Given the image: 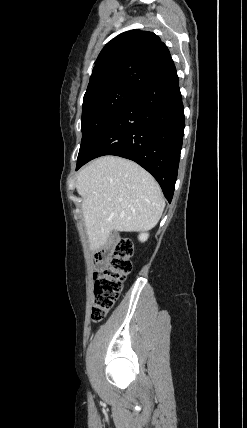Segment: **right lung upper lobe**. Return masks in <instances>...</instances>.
<instances>
[{"mask_svg":"<svg viewBox=\"0 0 247 428\" xmlns=\"http://www.w3.org/2000/svg\"><path fill=\"white\" fill-rule=\"evenodd\" d=\"M174 67L167 46L152 32H124L99 54L85 95L125 86L143 90Z\"/></svg>","mask_w":247,"mask_h":428,"instance_id":"cb5924a9","label":"right lung upper lobe"}]
</instances>
